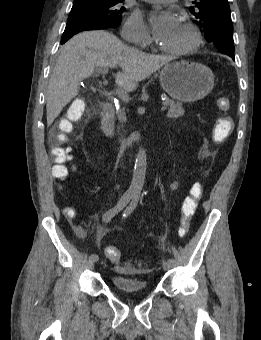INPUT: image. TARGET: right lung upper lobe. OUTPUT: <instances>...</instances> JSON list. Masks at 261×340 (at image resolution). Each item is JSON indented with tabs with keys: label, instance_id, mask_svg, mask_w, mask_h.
Here are the masks:
<instances>
[{
	"label": "right lung upper lobe",
	"instance_id": "cb5924a9",
	"mask_svg": "<svg viewBox=\"0 0 261 340\" xmlns=\"http://www.w3.org/2000/svg\"><path fill=\"white\" fill-rule=\"evenodd\" d=\"M79 1H88V0H74V2H79ZM95 1H112V0H95Z\"/></svg>",
	"mask_w": 261,
	"mask_h": 340
}]
</instances>
